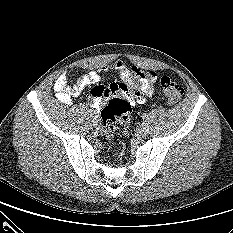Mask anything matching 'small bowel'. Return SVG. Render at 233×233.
<instances>
[{
    "instance_id": "c3829d8e",
    "label": "small bowel",
    "mask_w": 233,
    "mask_h": 233,
    "mask_svg": "<svg viewBox=\"0 0 233 233\" xmlns=\"http://www.w3.org/2000/svg\"><path fill=\"white\" fill-rule=\"evenodd\" d=\"M132 68V67H131ZM130 67L123 61H115L110 67H104L100 72L107 73L110 70L116 71L121 77L120 82L111 83L105 87L98 85L101 81V75L98 71H91L86 75L80 76L76 83L70 85L68 83L70 74L63 72L54 83V91L57 98L64 104H70L72 99L79 96L80 93L88 86L94 85L91 90L92 106L99 109L103 101L109 97L121 94L129 100L131 106L144 101L145 98L151 97L154 94V83L156 74L153 71H145L147 74L146 79L142 82L138 95L131 93V78Z\"/></svg>"
}]
</instances>
